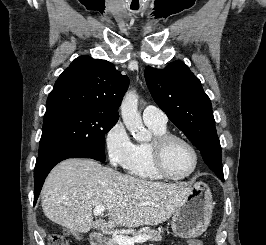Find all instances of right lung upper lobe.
Instances as JSON below:
<instances>
[{
    "mask_svg": "<svg viewBox=\"0 0 266 245\" xmlns=\"http://www.w3.org/2000/svg\"><path fill=\"white\" fill-rule=\"evenodd\" d=\"M129 85L114 64L88 55L75 59L60 75L48 96L45 117L61 111L86 108L118 115Z\"/></svg>",
    "mask_w": 266,
    "mask_h": 245,
    "instance_id": "obj_1",
    "label": "right lung upper lobe"
}]
</instances>
